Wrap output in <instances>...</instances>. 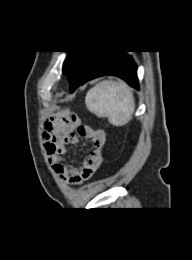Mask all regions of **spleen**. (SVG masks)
I'll list each match as a JSON object with an SVG mask.
<instances>
[{"mask_svg": "<svg viewBox=\"0 0 192 260\" xmlns=\"http://www.w3.org/2000/svg\"><path fill=\"white\" fill-rule=\"evenodd\" d=\"M87 109L114 126H124L133 117L135 100L124 81L104 80L90 89L85 97Z\"/></svg>", "mask_w": 192, "mask_h": 260, "instance_id": "3e777b00", "label": "spleen"}]
</instances>
